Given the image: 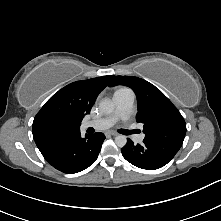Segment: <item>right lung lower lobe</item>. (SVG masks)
<instances>
[{
  "mask_svg": "<svg viewBox=\"0 0 221 221\" xmlns=\"http://www.w3.org/2000/svg\"><path fill=\"white\" fill-rule=\"evenodd\" d=\"M103 133H95L81 137L80 131L57 137L44 149L40 150L46 161L64 173L80 172L92 165L98 158Z\"/></svg>",
  "mask_w": 221,
  "mask_h": 221,
  "instance_id": "1",
  "label": "right lung lower lobe"
}]
</instances>
